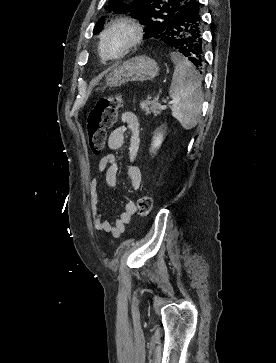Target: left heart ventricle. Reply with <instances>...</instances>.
<instances>
[{
  "label": "left heart ventricle",
  "instance_id": "left-heart-ventricle-1",
  "mask_svg": "<svg viewBox=\"0 0 276 363\" xmlns=\"http://www.w3.org/2000/svg\"><path fill=\"white\" fill-rule=\"evenodd\" d=\"M127 35L122 32L113 33L106 41V51L109 55L117 54L126 44Z\"/></svg>",
  "mask_w": 276,
  "mask_h": 363
}]
</instances>
